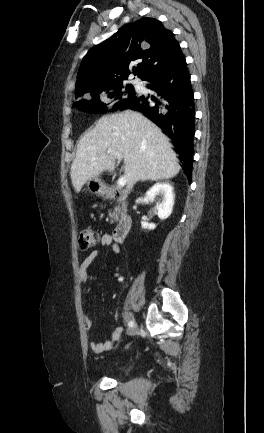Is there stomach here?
<instances>
[{"mask_svg": "<svg viewBox=\"0 0 264 433\" xmlns=\"http://www.w3.org/2000/svg\"><path fill=\"white\" fill-rule=\"evenodd\" d=\"M87 186L88 190L95 195H104L107 192L106 186L99 178L90 179Z\"/></svg>", "mask_w": 264, "mask_h": 433, "instance_id": "stomach-1", "label": "stomach"}]
</instances>
